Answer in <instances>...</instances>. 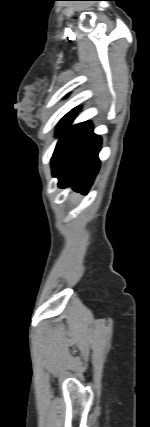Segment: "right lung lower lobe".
Wrapping results in <instances>:
<instances>
[{
  "label": "right lung lower lobe",
  "mask_w": 150,
  "mask_h": 427,
  "mask_svg": "<svg viewBox=\"0 0 150 427\" xmlns=\"http://www.w3.org/2000/svg\"><path fill=\"white\" fill-rule=\"evenodd\" d=\"M101 138L93 133L90 122L68 127L61 136L51 165L61 188L72 187L86 194L98 172Z\"/></svg>",
  "instance_id": "right-lung-lower-lobe-1"
}]
</instances>
